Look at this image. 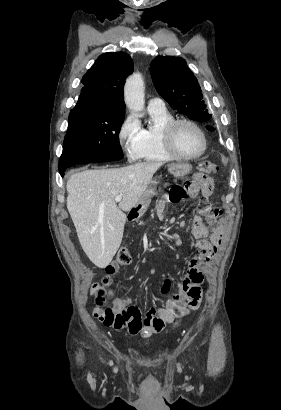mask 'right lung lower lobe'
<instances>
[{"mask_svg":"<svg viewBox=\"0 0 281 410\" xmlns=\"http://www.w3.org/2000/svg\"><path fill=\"white\" fill-rule=\"evenodd\" d=\"M64 171H65V170H64ZM64 171H60L61 176H63V175H64Z\"/></svg>","mask_w":281,"mask_h":410,"instance_id":"obj_1","label":"right lung lower lobe"}]
</instances>
